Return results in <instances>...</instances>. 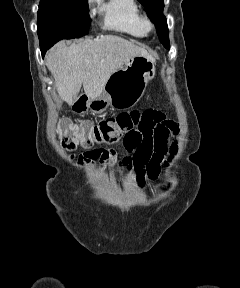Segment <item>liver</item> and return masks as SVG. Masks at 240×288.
Segmentation results:
<instances>
[{
	"label": "liver",
	"instance_id": "1",
	"mask_svg": "<svg viewBox=\"0 0 240 288\" xmlns=\"http://www.w3.org/2000/svg\"><path fill=\"white\" fill-rule=\"evenodd\" d=\"M135 56L152 58L146 49L122 37L101 35L70 46L58 42L48 51L46 66L59 96L71 106L82 85L89 100L99 97L110 76Z\"/></svg>",
	"mask_w": 240,
	"mask_h": 288
}]
</instances>
